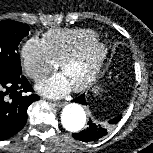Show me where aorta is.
I'll return each mask as SVG.
<instances>
[{
  "label": "aorta",
  "instance_id": "762f6f07",
  "mask_svg": "<svg viewBox=\"0 0 153 153\" xmlns=\"http://www.w3.org/2000/svg\"><path fill=\"white\" fill-rule=\"evenodd\" d=\"M86 119L83 107L76 103L66 105L61 113L62 125L70 132L80 131L85 126Z\"/></svg>",
  "mask_w": 153,
  "mask_h": 153
}]
</instances>
